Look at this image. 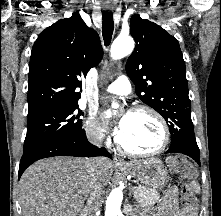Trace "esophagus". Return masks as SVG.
Instances as JSON below:
<instances>
[{"label":"esophagus","instance_id":"esophagus-1","mask_svg":"<svg viewBox=\"0 0 221 216\" xmlns=\"http://www.w3.org/2000/svg\"><path fill=\"white\" fill-rule=\"evenodd\" d=\"M114 163L116 166H125L126 162L119 156H114Z\"/></svg>","mask_w":221,"mask_h":216}]
</instances>
